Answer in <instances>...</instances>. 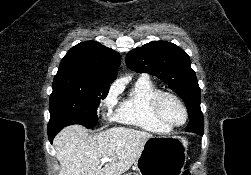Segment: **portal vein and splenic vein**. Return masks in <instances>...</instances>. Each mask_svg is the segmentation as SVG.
<instances>
[{
    "instance_id": "18ae733b",
    "label": "portal vein and splenic vein",
    "mask_w": 251,
    "mask_h": 175,
    "mask_svg": "<svg viewBox=\"0 0 251 175\" xmlns=\"http://www.w3.org/2000/svg\"><path fill=\"white\" fill-rule=\"evenodd\" d=\"M101 163H106V161H112L111 157H102V159H100Z\"/></svg>"
}]
</instances>
